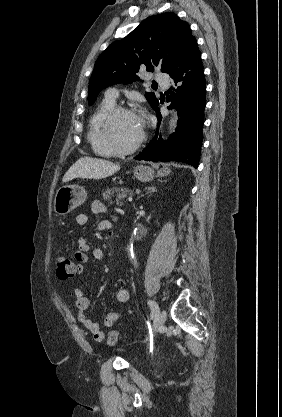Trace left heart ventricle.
I'll use <instances>...</instances> for the list:
<instances>
[{
  "mask_svg": "<svg viewBox=\"0 0 282 417\" xmlns=\"http://www.w3.org/2000/svg\"><path fill=\"white\" fill-rule=\"evenodd\" d=\"M98 129L103 134V121L100 122ZM141 132L142 125L139 118L134 115L124 114L115 120L112 135L118 144L129 145L139 139Z\"/></svg>",
  "mask_w": 282,
  "mask_h": 417,
  "instance_id": "left-heart-ventricle-1",
  "label": "left heart ventricle"
}]
</instances>
